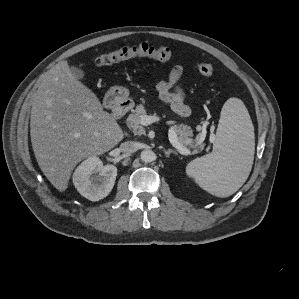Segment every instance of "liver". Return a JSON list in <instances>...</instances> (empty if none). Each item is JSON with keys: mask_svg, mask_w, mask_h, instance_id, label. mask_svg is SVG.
Instances as JSON below:
<instances>
[{"mask_svg": "<svg viewBox=\"0 0 299 299\" xmlns=\"http://www.w3.org/2000/svg\"><path fill=\"white\" fill-rule=\"evenodd\" d=\"M30 136L38 165L60 192L68 188L75 166L101 155L123 138L116 120L97 96L60 61L40 83L33 99Z\"/></svg>", "mask_w": 299, "mask_h": 299, "instance_id": "6515ba94", "label": "liver"}]
</instances>
